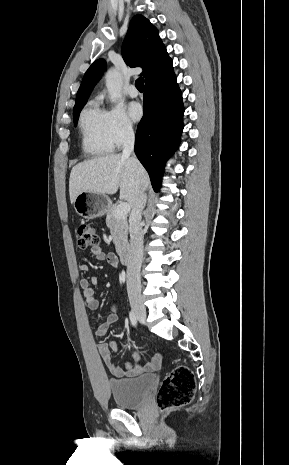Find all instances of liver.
I'll list each match as a JSON object with an SVG mask.
<instances>
[{
	"instance_id": "liver-1",
	"label": "liver",
	"mask_w": 289,
	"mask_h": 465,
	"mask_svg": "<svg viewBox=\"0 0 289 465\" xmlns=\"http://www.w3.org/2000/svg\"><path fill=\"white\" fill-rule=\"evenodd\" d=\"M149 178L144 167L120 154L104 155L75 165L69 178L71 203L81 192L115 194L120 188V199L131 208L141 188L148 186Z\"/></svg>"
}]
</instances>
